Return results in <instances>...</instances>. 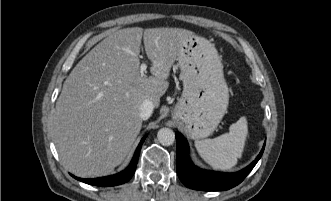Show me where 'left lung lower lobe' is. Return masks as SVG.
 Instances as JSON below:
<instances>
[{
    "mask_svg": "<svg viewBox=\"0 0 331 201\" xmlns=\"http://www.w3.org/2000/svg\"><path fill=\"white\" fill-rule=\"evenodd\" d=\"M176 143V169L179 179L186 187L202 191L228 190L241 183L259 161L265 147L264 145L260 154L249 166L239 172L228 174L196 167L188 156V143L179 133H176Z\"/></svg>",
    "mask_w": 331,
    "mask_h": 201,
    "instance_id": "left-lung-lower-lobe-1",
    "label": "left lung lower lobe"
}]
</instances>
